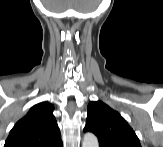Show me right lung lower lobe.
I'll use <instances>...</instances> for the list:
<instances>
[{"label":"right lung lower lobe","instance_id":"1","mask_svg":"<svg viewBox=\"0 0 163 147\" xmlns=\"http://www.w3.org/2000/svg\"><path fill=\"white\" fill-rule=\"evenodd\" d=\"M63 146V144H62V142L61 143H59V144H57V145H55V146H53V147H62Z\"/></svg>","mask_w":163,"mask_h":147}]
</instances>
